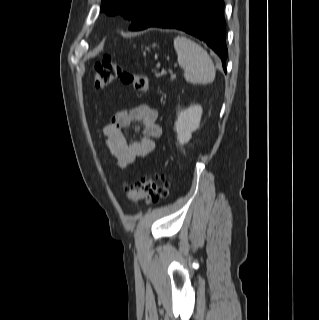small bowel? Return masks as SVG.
Segmentation results:
<instances>
[{
  "mask_svg": "<svg viewBox=\"0 0 319 320\" xmlns=\"http://www.w3.org/2000/svg\"><path fill=\"white\" fill-rule=\"evenodd\" d=\"M157 111L147 105L140 104L131 109L118 111L109 124L102 129L105 143L115 164L119 168H126L137 158L145 157L155 148V141L161 136V127L157 122ZM133 123H140L142 137L129 141L123 130Z\"/></svg>",
  "mask_w": 319,
  "mask_h": 320,
  "instance_id": "small-bowel-1",
  "label": "small bowel"
}]
</instances>
